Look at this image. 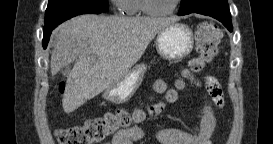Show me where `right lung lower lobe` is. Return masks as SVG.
I'll return each mask as SVG.
<instances>
[{
	"instance_id": "1",
	"label": "right lung lower lobe",
	"mask_w": 273,
	"mask_h": 144,
	"mask_svg": "<svg viewBox=\"0 0 273 144\" xmlns=\"http://www.w3.org/2000/svg\"><path fill=\"white\" fill-rule=\"evenodd\" d=\"M100 13H102V11L97 10L95 8L83 7V8L66 10L62 13L57 14L56 16L53 17L52 21L48 25H45L43 29V33H44L43 48L45 49L47 47L52 30L55 27H57L59 24L64 22L65 20L70 19L77 15H81V14H100Z\"/></svg>"
}]
</instances>
